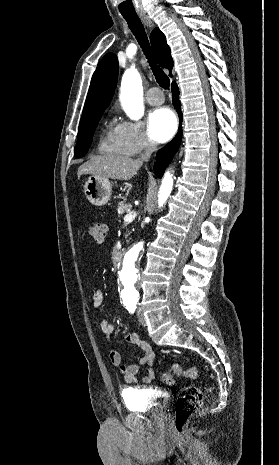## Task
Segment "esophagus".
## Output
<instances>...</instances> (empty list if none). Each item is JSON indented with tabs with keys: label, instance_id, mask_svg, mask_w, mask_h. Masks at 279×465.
Masks as SVG:
<instances>
[{
	"label": "esophagus",
	"instance_id": "34e87169",
	"mask_svg": "<svg viewBox=\"0 0 279 465\" xmlns=\"http://www.w3.org/2000/svg\"><path fill=\"white\" fill-rule=\"evenodd\" d=\"M139 16H140L141 20H142L147 26H149V27L152 26V22H151V20L149 19V17H148L147 15H145V14H140Z\"/></svg>",
	"mask_w": 279,
	"mask_h": 465
}]
</instances>
